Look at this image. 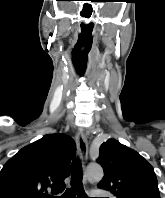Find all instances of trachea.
I'll use <instances>...</instances> for the list:
<instances>
[{
	"mask_svg": "<svg viewBox=\"0 0 165 198\" xmlns=\"http://www.w3.org/2000/svg\"><path fill=\"white\" fill-rule=\"evenodd\" d=\"M82 167L78 160L73 161L71 165V188L66 189L62 198H88L85 194L82 184ZM78 197H75V196Z\"/></svg>",
	"mask_w": 165,
	"mask_h": 198,
	"instance_id": "trachea-1",
	"label": "trachea"
}]
</instances>
